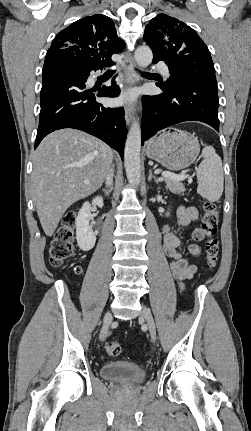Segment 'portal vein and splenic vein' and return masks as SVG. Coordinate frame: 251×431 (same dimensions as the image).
I'll return each instance as SVG.
<instances>
[{
    "instance_id": "1",
    "label": "portal vein and splenic vein",
    "mask_w": 251,
    "mask_h": 431,
    "mask_svg": "<svg viewBox=\"0 0 251 431\" xmlns=\"http://www.w3.org/2000/svg\"><path fill=\"white\" fill-rule=\"evenodd\" d=\"M162 176L164 178H170L173 180H177V181H183L185 179L188 178V175H184V174H174V173H170V172H163ZM85 184H88L89 181H84Z\"/></svg>"
}]
</instances>
